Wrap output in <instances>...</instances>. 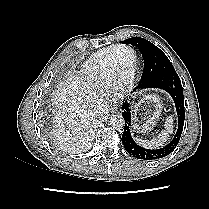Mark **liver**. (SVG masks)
Wrapping results in <instances>:
<instances>
[{
	"mask_svg": "<svg viewBox=\"0 0 209 209\" xmlns=\"http://www.w3.org/2000/svg\"><path fill=\"white\" fill-rule=\"evenodd\" d=\"M93 88L79 76H70L59 84L53 94L55 105L54 135L60 148L71 152L86 149L97 117L94 108L103 104Z\"/></svg>",
	"mask_w": 209,
	"mask_h": 209,
	"instance_id": "1",
	"label": "liver"
}]
</instances>
